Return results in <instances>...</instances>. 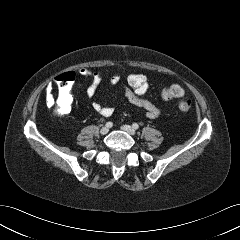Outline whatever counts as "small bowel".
I'll list each match as a JSON object with an SVG mask.
<instances>
[{"instance_id":"c3829d8e","label":"small bowel","mask_w":240,"mask_h":240,"mask_svg":"<svg viewBox=\"0 0 240 240\" xmlns=\"http://www.w3.org/2000/svg\"><path fill=\"white\" fill-rule=\"evenodd\" d=\"M79 73L83 77L92 78L91 84L88 86L86 90V95L90 99L93 98L103 79L101 72L93 71L88 68H82L80 69ZM116 85L122 86L124 95L131 104L145 110V115L147 118L155 119L161 115L162 113L161 109L154 102H152L150 99L146 98L145 96H138L134 94L128 88L125 80L122 78V76L119 73L113 74L109 79V86L113 87ZM92 108L94 109V111H96L98 114H100L103 117H110L114 113L113 107L103 106L97 101H94L92 103Z\"/></svg>"}]
</instances>
